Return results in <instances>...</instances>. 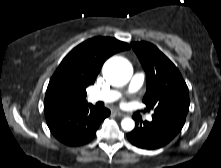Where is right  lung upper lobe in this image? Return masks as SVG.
I'll list each match as a JSON object with an SVG mask.
<instances>
[{"label":"right lung upper lobe","instance_id":"right-lung-upper-lobe-1","mask_svg":"<svg viewBox=\"0 0 221 168\" xmlns=\"http://www.w3.org/2000/svg\"><path fill=\"white\" fill-rule=\"evenodd\" d=\"M129 48L127 43L110 37H94L79 44L62 60L50 79L44 111L86 104V88L94 84L105 60Z\"/></svg>","mask_w":221,"mask_h":168}]
</instances>
